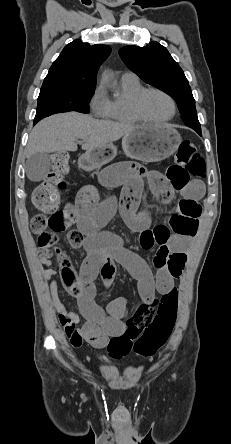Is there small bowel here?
Wrapping results in <instances>:
<instances>
[{"mask_svg": "<svg viewBox=\"0 0 231 444\" xmlns=\"http://www.w3.org/2000/svg\"><path fill=\"white\" fill-rule=\"evenodd\" d=\"M98 181L104 187H122L120 197L99 201L96 188L88 185L78 192L74 204L66 206L76 224V229L68 234L69 245L87 252L80 269L81 292L77 299L83 323L80 324V315L68 310L60 300L57 272L51 268L49 252L43 249L39 254V263L45 267L43 276L48 282L51 304L58 313L65 335L75 347L86 341L96 348H102L111 337L119 336L126 330L128 307L124 299L113 300L106 310L95 301L94 280L98 275H101L107 291L116 272V264L122 265L138 281L141 300L151 303L156 293L164 295L174 289L175 280L184 269L189 237L175 233L158 236L154 229L149 228V215L138 211L145 183H148L156 198L166 203L171 201L174 192L196 203L204 194V185L200 181L177 188L161 174L132 162L105 167L99 172ZM117 211L131 229L139 232L143 249L158 247L153 261L154 272L139 255L124 246L119 235L101 230Z\"/></svg>", "mask_w": 231, "mask_h": 444, "instance_id": "small-bowel-1", "label": "small bowel"}]
</instances>
